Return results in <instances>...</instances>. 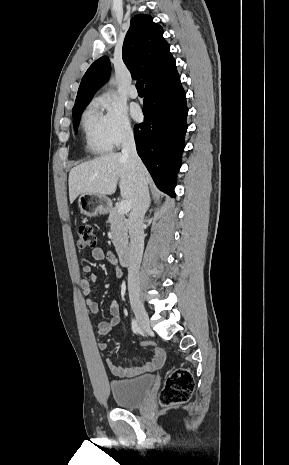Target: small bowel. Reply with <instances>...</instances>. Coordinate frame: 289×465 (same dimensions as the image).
Segmentation results:
<instances>
[{"mask_svg":"<svg viewBox=\"0 0 289 465\" xmlns=\"http://www.w3.org/2000/svg\"><path fill=\"white\" fill-rule=\"evenodd\" d=\"M92 256L95 260H107L112 265H117L118 263L116 255L111 250L104 251L101 248L96 247L92 250ZM81 270L86 274V276L79 280V285L83 293L88 296L86 304L89 311L92 314L97 315L99 313V305L94 299L90 298L93 293V284L97 281V275L91 273V267L88 264L82 265ZM117 277L119 280H122L123 278V273L120 270H117ZM118 322L119 306L117 301H113L109 308L108 320L98 321V334L101 336L108 335ZM98 348L102 353H104L107 351L108 345L106 343H100ZM164 361V352L161 349H155L152 358L142 366L123 367L114 364L110 359H106V364L110 371L117 377H133L145 372H151L159 369L163 365Z\"/></svg>","mask_w":289,"mask_h":465,"instance_id":"1","label":"small bowel"}]
</instances>
